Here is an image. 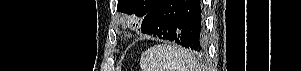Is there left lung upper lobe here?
<instances>
[{
  "mask_svg": "<svg viewBox=\"0 0 301 71\" xmlns=\"http://www.w3.org/2000/svg\"><path fill=\"white\" fill-rule=\"evenodd\" d=\"M158 0H118L119 12L145 18Z\"/></svg>",
  "mask_w": 301,
  "mask_h": 71,
  "instance_id": "left-lung-upper-lobe-1",
  "label": "left lung upper lobe"
}]
</instances>
